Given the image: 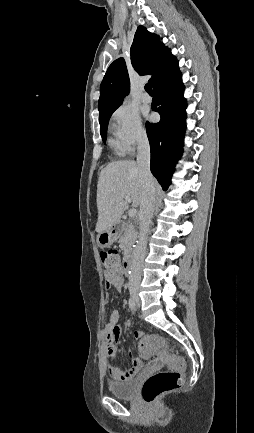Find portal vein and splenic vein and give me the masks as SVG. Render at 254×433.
<instances>
[{
    "label": "portal vein and splenic vein",
    "mask_w": 254,
    "mask_h": 433,
    "mask_svg": "<svg viewBox=\"0 0 254 433\" xmlns=\"http://www.w3.org/2000/svg\"><path fill=\"white\" fill-rule=\"evenodd\" d=\"M125 200H126V202H129V203L131 202V198L129 196H125ZM136 214H137V210L135 208H132L128 211L129 217H134V216H136Z\"/></svg>",
    "instance_id": "18ae733b"
}]
</instances>
